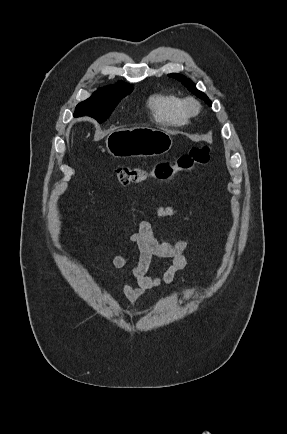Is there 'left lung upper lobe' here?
Returning <instances> with one entry per match:
<instances>
[{
  "label": "left lung upper lobe",
  "mask_w": 287,
  "mask_h": 434,
  "mask_svg": "<svg viewBox=\"0 0 287 434\" xmlns=\"http://www.w3.org/2000/svg\"><path fill=\"white\" fill-rule=\"evenodd\" d=\"M168 76H170V77H172V78H175V79H177V80H180V81H182V83L192 92V93H194L195 95H197L199 98H201V99H203L207 104H209V105H212V103H211V101L208 99V97L204 94V93H202V92H200V91H198L197 89H196V87H195V85L189 80V79H187L184 75H181V74H177V73H171V74H169Z\"/></svg>",
  "instance_id": "5c2ea615"
}]
</instances>
